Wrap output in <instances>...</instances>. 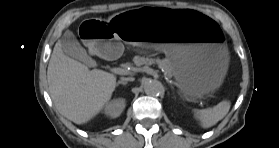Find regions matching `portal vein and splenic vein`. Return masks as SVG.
Returning <instances> with one entry per match:
<instances>
[{
	"mask_svg": "<svg viewBox=\"0 0 279 148\" xmlns=\"http://www.w3.org/2000/svg\"><path fill=\"white\" fill-rule=\"evenodd\" d=\"M111 71L115 74H120V75H125L128 73V71L123 68H112ZM162 71H164V70L162 69Z\"/></svg>",
	"mask_w": 279,
	"mask_h": 148,
	"instance_id": "obj_1",
	"label": "portal vein and splenic vein"
}]
</instances>
